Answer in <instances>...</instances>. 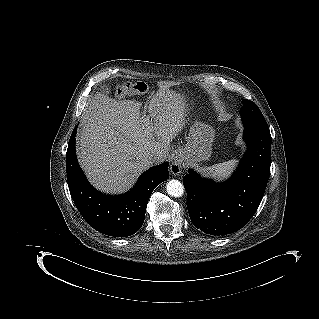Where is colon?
I'll return each mask as SVG.
<instances>
[{"label":"colon","instance_id":"colon-1","mask_svg":"<svg viewBox=\"0 0 319 319\" xmlns=\"http://www.w3.org/2000/svg\"><path fill=\"white\" fill-rule=\"evenodd\" d=\"M149 86L142 81L137 82H123L117 86V94L119 96H127L132 94H144L148 92Z\"/></svg>","mask_w":319,"mask_h":319}]
</instances>
